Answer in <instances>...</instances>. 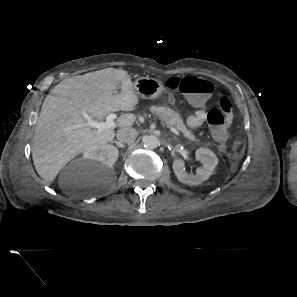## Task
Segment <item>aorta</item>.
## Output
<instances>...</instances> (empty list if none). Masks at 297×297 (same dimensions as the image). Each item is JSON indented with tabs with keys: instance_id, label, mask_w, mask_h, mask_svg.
Returning <instances> with one entry per match:
<instances>
[{
	"instance_id": "762f6f07",
	"label": "aorta",
	"mask_w": 297,
	"mask_h": 297,
	"mask_svg": "<svg viewBox=\"0 0 297 297\" xmlns=\"http://www.w3.org/2000/svg\"><path fill=\"white\" fill-rule=\"evenodd\" d=\"M142 144L147 149H155L160 145V141L158 137L154 135H148L142 139Z\"/></svg>"
}]
</instances>
